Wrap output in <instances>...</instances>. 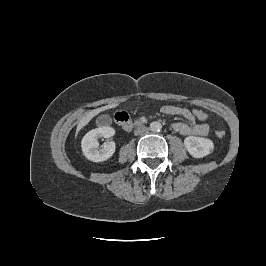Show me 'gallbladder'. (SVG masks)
Returning <instances> with one entry per match:
<instances>
[{
  "label": "gallbladder",
  "instance_id": "bac80fb5",
  "mask_svg": "<svg viewBox=\"0 0 266 266\" xmlns=\"http://www.w3.org/2000/svg\"><path fill=\"white\" fill-rule=\"evenodd\" d=\"M112 119L109 115H101L97 119L98 124H109L111 123Z\"/></svg>",
  "mask_w": 266,
  "mask_h": 266
}]
</instances>
